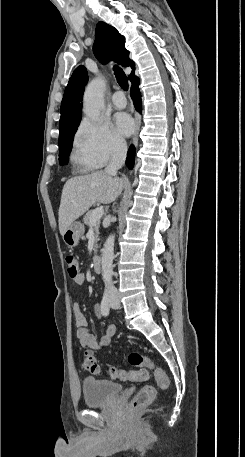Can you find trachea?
<instances>
[{"label": "trachea", "mask_w": 245, "mask_h": 457, "mask_svg": "<svg viewBox=\"0 0 245 457\" xmlns=\"http://www.w3.org/2000/svg\"><path fill=\"white\" fill-rule=\"evenodd\" d=\"M113 70H114V73H115L116 78H117V82L119 83L120 87L123 90H128L129 84H128V80H127V77H126L125 73L118 66H114Z\"/></svg>", "instance_id": "trachea-1"}]
</instances>
